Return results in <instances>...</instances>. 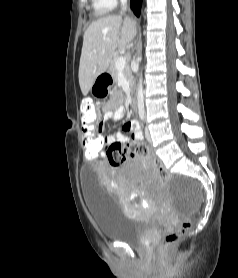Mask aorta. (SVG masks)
I'll return each instance as SVG.
<instances>
[{"label": "aorta", "mask_w": 238, "mask_h": 278, "mask_svg": "<svg viewBox=\"0 0 238 278\" xmlns=\"http://www.w3.org/2000/svg\"><path fill=\"white\" fill-rule=\"evenodd\" d=\"M143 79H142V72L139 76V83H138V90H137V105H138V111L140 114H143L145 112V106H144V92H143V85H142Z\"/></svg>", "instance_id": "aorta-1"}]
</instances>
